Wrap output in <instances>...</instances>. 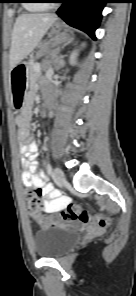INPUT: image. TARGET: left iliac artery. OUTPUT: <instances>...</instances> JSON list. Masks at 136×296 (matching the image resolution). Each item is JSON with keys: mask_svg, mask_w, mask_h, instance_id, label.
<instances>
[{"mask_svg": "<svg viewBox=\"0 0 136 296\" xmlns=\"http://www.w3.org/2000/svg\"><path fill=\"white\" fill-rule=\"evenodd\" d=\"M47 172H48V174L52 173V167L50 164H47Z\"/></svg>", "mask_w": 136, "mask_h": 296, "instance_id": "44dca946", "label": "left iliac artery"}]
</instances>
